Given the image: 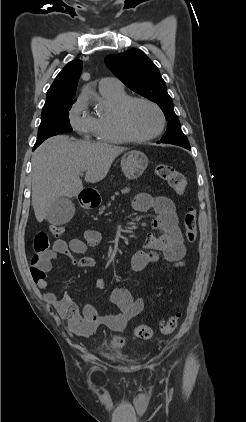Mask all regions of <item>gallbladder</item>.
Instances as JSON below:
<instances>
[{
	"mask_svg": "<svg viewBox=\"0 0 246 422\" xmlns=\"http://www.w3.org/2000/svg\"><path fill=\"white\" fill-rule=\"evenodd\" d=\"M75 214V206L68 197H59L49 208L46 220L53 225L69 222Z\"/></svg>",
	"mask_w": 246,
	"mask_h": 422,
	"instance_id": "obj_1",
	"label": "gallbladder"
}]
</instances>
